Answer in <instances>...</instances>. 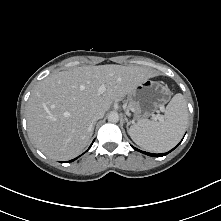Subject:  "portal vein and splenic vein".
<instances>
[{
  "instance_id": "18ae733b",
  "label": "portal vein and splenic vein",
  "mask_w": 221,
  "mask_h": 221,
  "mask_svg": "<svg viewBox=\"0 0 221 221\" xmlns=\"http://www.w3.org/2000/svg\"><path fill=\"white\" fill-rule=\"evenodd\" d=\"M105 90H106V87H105L104 85H101V86L99 87V89H98V93H99V94H102L103 92H105ZM153 117H154L155 119H159V120L162 119V116L159 115V114L154 115Z\"/></svg>"
}]
</instances>
